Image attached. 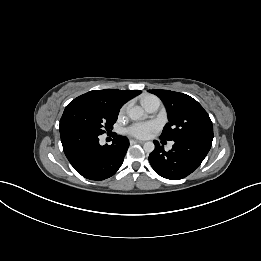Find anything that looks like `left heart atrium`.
Wrapping results in <instances>:
<instances>
[{
	"label": "left heart atrium",
	"mask_w": 261,
	"mask_h": 261,
	"mask_svg": "<svg viewBox=\"0 0 261 261\" xmlns=\"http://www.w3.org/2000/svg\"><path fill=\"white\" fill-rule=\"evenodd\" d=\"M155 129L153 123H135L130 126L127 132L137 138H145Z\"/></svg>",
	"instance_id": "1"
}]
</instances>
